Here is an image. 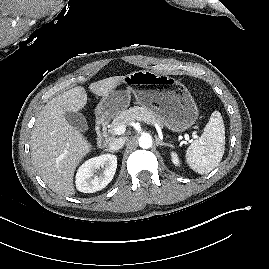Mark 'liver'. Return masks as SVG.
<instances>
[{"instance_id": "obj_1", "label": "liver", "mask_w": 269, "mask_h": 269, "mask_svg": "<svg viewBox=\"0 0 269 269\" xmlns=\"http://www.w3.org/2000/svg\"><path fill=\"white\" fill-rule=\"evenodd\" d=\"M124 76L109 77L89 85L92 93L105 97ZM87 93L76 86L54 97L40 111L31 137V157L47 186L60 195L75 194L74 172L91 151L88 140L65 119V112H78L87 103Z\"/></svg>"}]
</instances>
